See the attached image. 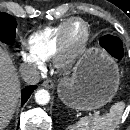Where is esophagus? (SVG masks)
Wrapping results in <instances>:
<instances>
[{"mask_svg":"<svg viewBox=\"0 0 130 130\" xmlns=\"http://www.w3.org/2000/svg\"><path fill=\"white\" fill-rule=\"evenodd\" d=\"M42 86L47 89H51L54 87V82L51 79H47L42 83Z\"/></svg>","mask_w":130,"mask_h":130,"instance_id":"esophagus-1","label":"esophagus"}]
</instances>
